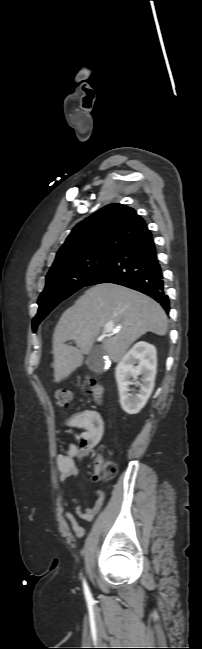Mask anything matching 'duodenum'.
<instances>
[{
	"instance_id": "1",
	"label": "duodenum",
	"mask_w": 202,
	"mask_h": 649,
	"mask_svg": "<svg viewBox=\"0 0 202 649\" xmlns=\"http://www.w3.org/2000/svg\"><path fill=\"white\" fill-rule=\"evenodd\" d=\"M103 394H104V389L101 386H98L93 392V396L97 402L101 401Z\"/></svg>"
}]
</instances>
